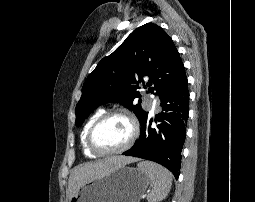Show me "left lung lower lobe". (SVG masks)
Listing matches in <instances>:
<instances>
[{
    "instance_id": "obj_1",
    "label": "left lung lower lobe",
    "mask_w": 255,
    "mask_h": 202,
    "mask_svg": "<svg viewBox=\"0 0 255 202\" xmlns=\"http://www.w3.org/2000/svg\"><path fill=\"white\" fill-rule=\"evenodd\" d=\"M162 112L141 124V134L134 146L123 155L157 162L169 169L177 179L181 165V151L185 141L189 113V91L186 74L173 88L160 96Z\"/></svg>"
}]
</instances>
